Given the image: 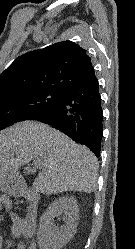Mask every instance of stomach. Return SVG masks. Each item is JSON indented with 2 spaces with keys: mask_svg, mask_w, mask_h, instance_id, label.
<instances>
[{
  "mask_svg": "<svg viewBox=\"0 0 135 249\" xmlns=\"http://www.w3.org/2000/svg\"><path fill=\"white\" fill-rule=\"evenodd\" d=\"M16 174L10 170L0 167V188L4 190L14 189ZM11 187V188H10Z\"/></svg>",
  "mask_w": 135,
  "mask_h": 249,
  "instance_id": "obj_1",
  "label": "stomach"
}]
</instances>
